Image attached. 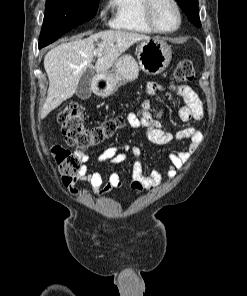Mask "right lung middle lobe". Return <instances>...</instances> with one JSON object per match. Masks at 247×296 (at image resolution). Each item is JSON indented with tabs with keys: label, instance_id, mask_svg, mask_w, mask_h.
<instances>
[{
	"label": "right lung middle lobe",
	"instance_id": "1",
	"mask_svg": "<svg viewBox=\"0 0 247 296\" xmlns=\"http://www.w3.org/2000/svg\"><path fill=\"white\" fill-rule=\"evenodd\" d=\"M100 0H46L39 48L49 45L72 28L92 19Z\"/></svg>",
	"mask_w": 247,
	"mask_h": 296
}]
</instances>
